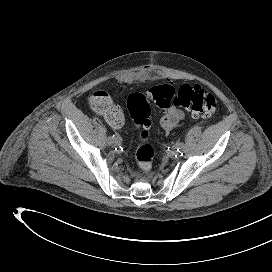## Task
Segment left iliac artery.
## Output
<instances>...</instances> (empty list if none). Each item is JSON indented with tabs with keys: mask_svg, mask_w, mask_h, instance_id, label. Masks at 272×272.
Instances as JSON below:
<instances>
[{
	"mask_svg": "<svg viewBox=\"0 0 272 272\" xmlns=\"http://www.w3.org/2000/svg\"><path fill=\"white\" fill-rule=\"evenodd\" d=\"M175 149H177V151L182 155L183 154L182 152L184 150V143L183 142L176 143Z\"/></svg>",
	"mask_w": 272,
	"mask_h": 272,
	"instance_id": "left-iliac-artery-1",
	"label": "left iliac artery"
}]
</instances>
